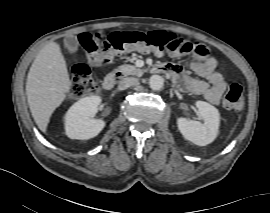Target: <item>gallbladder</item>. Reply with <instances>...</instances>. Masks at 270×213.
<instances>
[{
  "label": "gallbladder",
  "instance_id": "gallbladder-1",
  "mask_svg": "<svg viewBox=\"0 0 270 213\" xmlns=\"http://www.w3.org/2000/svg\"><path fill=\"white\" fill-rule=\"evenodd\" d=\"M64 45L66 48L71 52L77 51L78 48V41L75 36H68L64 39Z\"/></svg>",
  "mask_w": 270,
  "mask_h": 213
}]
</instances>
